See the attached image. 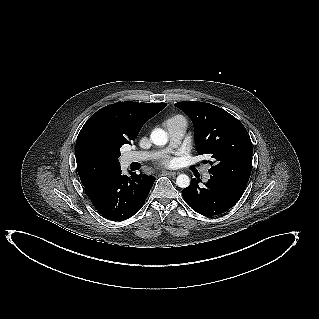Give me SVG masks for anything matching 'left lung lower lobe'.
Instances as JSON below:
<instances>
[{
  "mask_svg": "<svg viewBox=\"0 0 319 319\" xmlns=\"http://www.w3.org/2000/svg\"><path fill=\"white\" fill-rule=\"evenodd\" d=\"M199 180L191 179V184L182 190L186 203L204 216L219 215L232 208L241 198L246 187L227 178L212 175L204 187Z\"/></svg>",
  "mask_w": 319,
  "mask_h": 319,
  "instance_id": "0a47b994",
  "label": "left lung lower lobe"
}]
</instances>
